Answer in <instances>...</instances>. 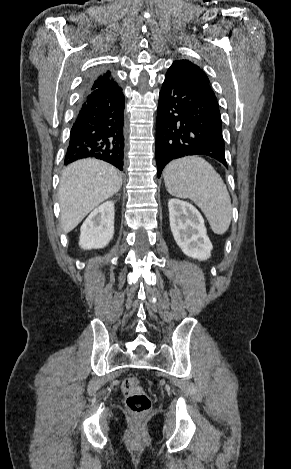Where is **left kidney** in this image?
Instances as JSON below:
<instances>
[{"instance_id":"1","label":"left kidney","mask_w":291,"mask_h":469,"mask_svg":"<svg viewBox=\"0 0 291 469\" xmlns=\"http://www.w3.org/2000/svg\"><path fill=\"white\" fill-rule=\"evenodd\" d=\"M170 228L182 252L200 261L211 256L212 243L200 212L190 203L170 199L168 202Z\"/></svg>"}]
</instances>
